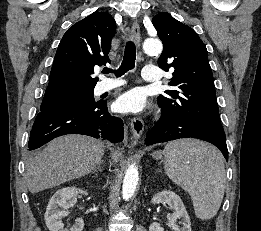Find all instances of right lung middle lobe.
Here are the masks:
<instances>
[{"mask_svg": "<svg viewBox=\"0 0 261 231\" xmlns=\"http://www.w3.org/2000/svg\"><path fill=\"white\" fill-rule=\"evenodd\" d=\"M93 89L94 88L46 91L40 107V112H45L68 105L95 103L96 101L93 97Z\"/></svg>", "mask_w": 261, "mask_h": 231, "instance_id": "right-lung-middle-lobe-1", "label": "right lung middle lobe"}]
</instances>
